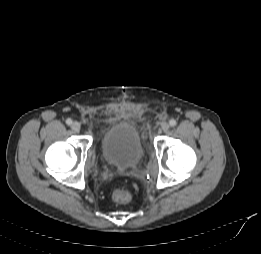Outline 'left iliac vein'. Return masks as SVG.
I'll list each match as a JSON object with an SVG mask.
<instances>
[{"instance_id": "1", "label": "left iliac vein", "mask_w": 261, "mask_h": 254, "mask_svg": "<svg viewBox=\"0 0 261 254\" xmlns=\"http://www.w3.org/2000/svg\"><path fill=\"white\" fill-rule=\"evenodd\" d=\"M169 128H170V125H169L168 123H166V122L161 125V130H162L163 132L168 131Z\"/></svg>"}]
</instances>
